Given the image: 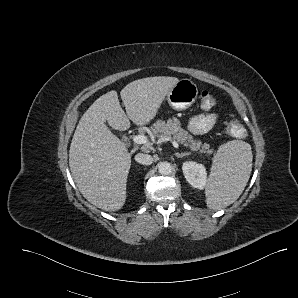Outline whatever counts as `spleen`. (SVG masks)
<instances>
[{"label":"spleen","instance_id":"1","mask_svg":"<svg viewBox=\"0 0 298 298\" xmlns=\"http://www.w3.org/2000/svg\"><path fill=\"white\" fill-rule=\"evenodd\" d=\"M251 170L252 151L248 143L234 140L220 146L206 182L207 205L219 210L234 202L243 192Z\"/></svg>","mask_w":298,"mask_h":298}]
</instances>
